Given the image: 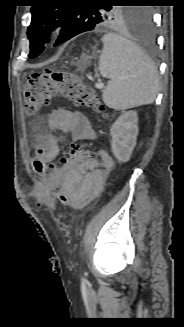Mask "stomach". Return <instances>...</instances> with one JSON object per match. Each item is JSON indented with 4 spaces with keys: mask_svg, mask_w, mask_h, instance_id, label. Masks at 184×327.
Here are the masks:
<instances>
[{
    "mask_svg": "<svg viewBox=\"0 0 184 327\" xmlns=\"http://www.w3.org/2000/svg\"><path fill=\"white\" fill-rule=\"evenodd\" d=\"M81 64H82V66H83V67H85V66H86V64H87V59H86V58H84V59L81 61Z\"/></svg>",
    "mask_w": 184,
    "mask_h": 327,
    "instance_id": "stomach-1",
    "label": "stomach"
}]
</instances>
